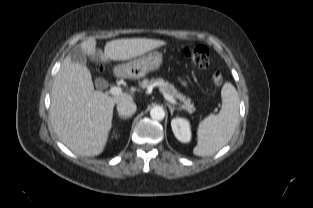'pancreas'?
Instances as JSON below:
<instances>
[{
    "label": "pancreas",
    "instance_id": "pancreas-1",
    "mask_svg": "<svg viewBox=\"0 0 313 208\" xmlns=\"http://www.w3.org/2000/svg\"><path fill=\"white\" fill-rule=\"evenodd\" d=\"M154 84L159 86L163 92H166L170 96L180 100L183 103L182 108L186 109L188 112H193L195 110L194 104L191 103L190 98H187L186 96L179 93L174 86L168 85V83L161 78H153L151 80L144 79L139 83L140 87L143 89H147L150 85Z\"/></svg>",
    "mask_w": 313,
    "mask_h": 208
}]
</instances>
